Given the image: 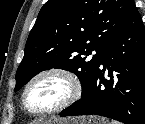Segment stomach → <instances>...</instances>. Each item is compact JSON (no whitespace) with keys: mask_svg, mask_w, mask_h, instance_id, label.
<instances>
[{"mask_svg":"<svg viewBox=\"0 0 145 124\" xmlns=\"http://www.w3.org/2000/svg\"><path fill=\"white\" fill-rule=\"evenodd\" d=\"M44 124H108L98 117L66 118L47 121Z\"/></svg>","mask_w":145,"mask_h":124,"instance_id":"obj_1","label":"stomach"}]
</instances>
